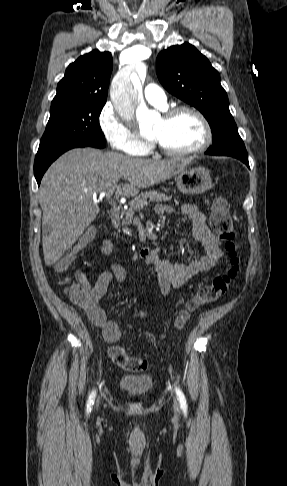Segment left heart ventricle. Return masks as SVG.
Segmentation results:
<instances>
[{
    "mask_svg": "<svg viewBox=\"0 0 287 486\" xmlns=\"http://www.w3.org/2000/svg\"><path fill=\"white\" fill-rule=\"evenodd\" d=\"M149 138L171 150H188L202 142L203 128L193 114L183 113L169 121L159 119Z\"/></svg>",
    "mask_w": 287,
    "mask_h": 486,
    "instance_id": "obj_1",
    "label": "left heart ventricle"
}]
</instances>
